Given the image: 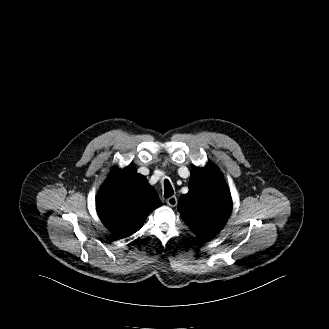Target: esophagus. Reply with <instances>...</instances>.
Here are the masks:
<instances>
[{"label": "esophagus", "instance_id": "1", "mask_svg": "<svg viewBox=\"0 0 329 329\" xmlns=\"http://www.w3.org/2000/svg\"><path fill=\"white\" fill-rule=\"evenodd\" d=\"M177 198L176 196H171L166 200V203L171 206V207H175L177 205Z\"/></svg>", "mask_w": 329, "mask_h": 329}]
</instances>
